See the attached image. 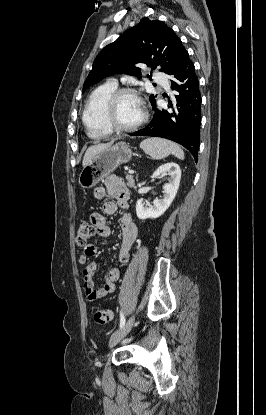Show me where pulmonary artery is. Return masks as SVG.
I'll use <instances>...</instances> for the list:
<instances>
[{
  "label": "pulmonary artery",
  "mask_w": 266,
  "mask_h": 415,
  "mask_svg": "<svg viewBox=\"0 0 266 415\" xmlns=\"http://www.w3.org/2000/svg\"><path fill=\"white\" fill-rule=\"evenodd\" d=\"M154 80L157 83L161 84L162 86L168 88V82H167V80H166V78L164 77L163 74H161V73H155L154 74ZM111 83L116 84L115 81H112Z\"/></svg>",
  "instance_id": "obj_1"
}]
</instances>
